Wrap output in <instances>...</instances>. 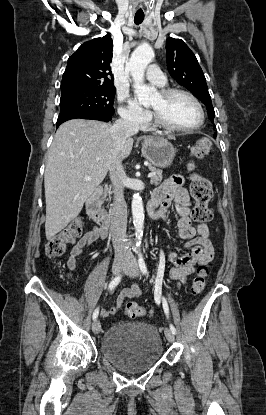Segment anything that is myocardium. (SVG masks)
Instances as JSON below:
<instances>
[{"label": "myocardium", "instance_id": "myocardium-1", "mask_svg": "<svg viewBox=\"0 0 266 415\" xmlns=\"http://www.w3.org/2000/svg\"><path fill=\"white\" fill-rule=\"evenodd\" d=\"M160 95L165 99H170L176 95H183L189 98L198 108L200 113L199 122L190 127H178L167 122L156 110L153 109L155 123L160 128L173 133H187L199 129L205 122V111L200 101L189 91L178 88H165L160 91Z\"/></svg>", "mask_w": 266, "mask_h": 415}]
</instances>
